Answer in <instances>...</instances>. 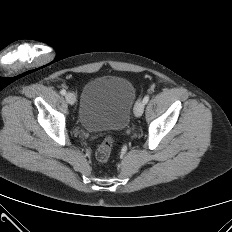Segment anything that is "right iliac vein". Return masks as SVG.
Wrapping results in <instances>:
<instances>
[{
    "mask_svg": "<svg viewBox=\"0 0 232 232\" xmlns=\"http://www.w3.org/2000/svg\"><path fill=\"white\" fill-rule=\"evenodd\" d=\"M66 101L70 104V105H74L76 102V97L73 93H67L66 96Z\"/></svg>",
    "mask_w": 232,
    "mask_h": 232,
    "instance_id": "1",
    "label": "right iliac vein"
}]
</instances>
